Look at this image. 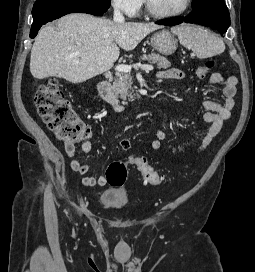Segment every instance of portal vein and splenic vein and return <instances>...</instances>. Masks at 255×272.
Segmentation results:
<instances>
[{
    "instance_id": "portal-vein-and-splenic-vein-1",
    "label": "portal vein and splenic vein",
    "mask_w": 255,
    "mask_h": 272,
    "mask_svg": "<svg viewBox=\"0 0 255 272\" xmlns=\"http://www.w3.org/2000/svg\"><path fill=\"white\" fill-rule=\"evenodd\" d=\"M132 67L138 69V68H141L142 70L144 71H151L153 70V66L152 65H141V64H135L133 66L131 65H117L115 67V70L117 72H130Z\"/></svg>"
}]
</instances>
